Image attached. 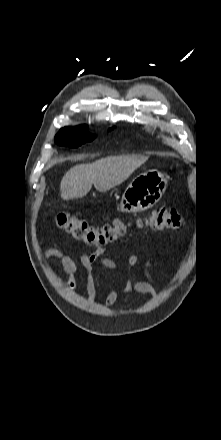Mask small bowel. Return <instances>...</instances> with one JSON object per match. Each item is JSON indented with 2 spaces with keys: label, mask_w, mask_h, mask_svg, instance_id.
Wrapping results in <instances>:
<instances>
[{
  "label": "small bowel",
  "mask_w": 221,
  "mask_h": 440,
  "mask_svg": "<svg viewBox=\"0 0 221 440\" xmlns=\"http://www.w3.org/2000/svg\"><path fill=\"white\" fill-rule=\"evenodd\" d=\"M105 249H98L95 252L89 254H82L79 257V263L85 271L86 291L88 299L92 301L97 293L96 282L94 278V268L96 265H100L106 269L112 271H118V265L110 258L103 257ZM44 258L57 259L63 271L68 275L66 282L67 289H73L76 286L75 274L78 270L77 263L66 253H64L59 247H51L45 250ZM138 256L131 255L128 259V265L125 270V283L122 287V291L125 293L136 292L143 295L154 296L155 280L151 274L150 268L154 262V259H148L145 261L144 270L148 281L136 280L134 277V266L138 263ZM118 298V290L115 285H110L109 292L105 298L104 306H112Z\"/></svg>",
  "instance_id": "obj_1"
}]
</instances>
